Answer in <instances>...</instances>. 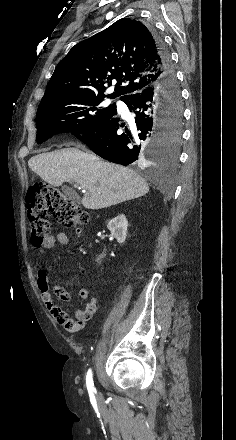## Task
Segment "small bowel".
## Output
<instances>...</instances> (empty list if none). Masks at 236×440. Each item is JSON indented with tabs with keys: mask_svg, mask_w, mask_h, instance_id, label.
I'll return each mask as SVG.
<instances>
[{
	"mask_svg": "<svg viewBox=\"0 0 236 440\" xmlns=\"http://www.w3.org/2000/svg\"><path fill=\"white\" fill-rule=\"evenodd\" d=\"M56 243L60 245H68L69 236L65 232H59L57 235L47 236L38 249V254L44 253L52 249ZM37 284L41 292V299L46 306L51 316L59 323L61 320L71 318L65 311H63L55 302L54 295L62 301H70V294L59 284H54L51 288L48 283L47 275L43 270L38 271ZM79 297L85 301V307L78 310L74 321H63L62 329L70 331H78L84 328V322L89 320L97 309V298L90 297V291L87 288L79 290Z\"/></svg>",
	"mask_w": 236,
	"mask_h": 440,
	"instance_id": "c3829d8e",
	"label": "small bowel"
}]
</instances>
